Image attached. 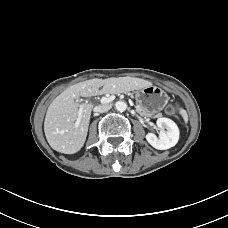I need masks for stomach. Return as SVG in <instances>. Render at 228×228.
<instances>
[{
  "mask_svg": "<svg viewBox=\"0 0 228 228\" xmlns=\"http://www.w3.org/2000/svg\"><path fill=\"white\" fill-rule=\"evenodd\" d=\"M138 110L143 113L161 111L168 101L167 94L157 86H147L139 89L135 95Z\"/></svg>",
  "mask_w": 228,
  "mask_h": 228,
  "instance_id": "stomach-1",
  "label": "stomach"
}]
</instances>
